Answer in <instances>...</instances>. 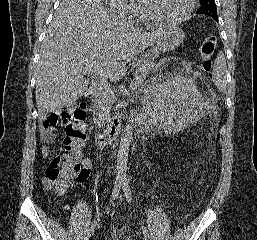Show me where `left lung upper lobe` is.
I'll use <instances>...</instances> for the list:
<instances>
[{
    "instance_id": "1",
    "label": "left lung upper lobe",
    "mask_w": 257,
    "mask_h": 240,
    "mask_svg": "<svg viewBox=\"0 0 257 240\" xmlns=\"http://www.w3.org/2000/svg\"><path fill=\"white\" fill-rule=\"evenodd\" d=\"M200 5L197 14L208 15L218 21L217 8L214 0H200Z\"/></svg>"
}]
</instances>
